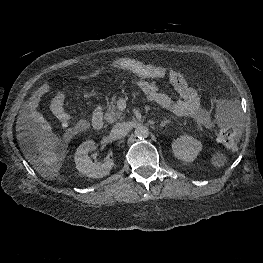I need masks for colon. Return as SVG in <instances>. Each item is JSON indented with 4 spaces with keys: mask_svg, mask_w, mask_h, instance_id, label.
I'll list each match as a JSON object with an SVG mask.
<instances>
[{
    "mask_svg": "<svg viewBox=\"0 0 263 263\" xmlns=\"http://www.w3.org/2000/svg\"><path fill=\"white\" fill-rule=\"evenodd\" d=\"M112 66L131 71L139 76L148 78H162L168 75L169 68L147 64L139 60L127 57L116 58L112 61ZM54 113L57 118L67 124L70 120L69 115L61 108L57 96L54 101ZM219 139L221 143L228 149L234 150L237 147L239 134L237 130L227 122H222L219 129Z\"/></svg>",
    "mask_w": 263,
    "mask_h": 263,
    "instance_id": "obj_1",
    "label": "colon"
}]
</instances>
